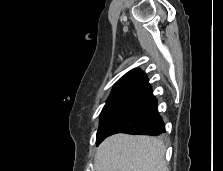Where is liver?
I'll return each mask as SVG.
<instances>
[{
    "label": "liver",
    "instance_id": "liver-1",
    "mask_svg": "<svg viewBox=\"0 0 223 171\" xmlns=\"http://www.w3.org/2000/svg\"><path fill=\"white\" fill-rule=\"evenodd\" d=\"M165 151L157 138L115 134L99 145L95 171H168Z\"/></svg>",
    "mask_w": 223,
    "mask_h": 171
}]
</instances>
